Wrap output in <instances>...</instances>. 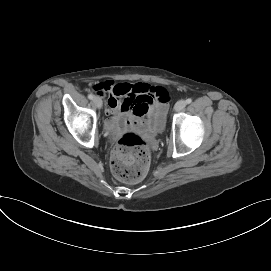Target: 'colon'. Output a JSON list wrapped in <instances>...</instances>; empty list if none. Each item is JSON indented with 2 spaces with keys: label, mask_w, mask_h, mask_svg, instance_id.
<instances>
[{
  "label": "colon",
  "mask_w": 271,
  "mask_h": 271,
  "mask_svg": "<svg viewBox=\"0 0 271 271\" xmlns=\"http://www.w3.org/2000/svg\"><path fill=\"white\" fill-rule=\"evenodd\" d=\"M150 161V151L145 141L135 133H126L112 152L111 170L117 179L136 183L146 176Z\"/></svg>",
  "instance_id": "colon-1"
}]
</instances>
